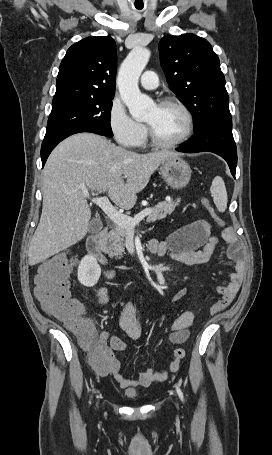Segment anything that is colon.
Listing matches in <instances>:
<instances>
[{"label":"colon","instance_id":"obj_1","mask_svg":"<svg viewBox=\"0 0 272 455\" xmlns=\"http://www.w3.org/2000/svg\"><path fill=\"white\" fill-rule=\"evenodd\" d=\"M202 204L216 224L223 227L224 222L210 201L204 198ZM71 265L67 251H62L41 264L35 277L34 293L48 314L64 323L81 338L82 343L89 349L91 363L101 368L107 365L109 352L104 344L94 340L93 324L83 317L82 305L70 297L68 279Z\"/></svg>","mask_w":272,"mask_h":455}]
</instances>
